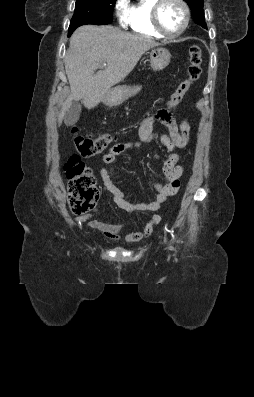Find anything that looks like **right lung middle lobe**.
<instances>
[{
  "label": "right lung middle lobe",
  "instance_id": "1",
  "mask_svg": "<svg viewBox=\"0 0 254 397\" xmlns=\"http://www.w3.org/2000/svg\"><path fill=\"white\" fill-rule=\"evenodd\" d=\"M116 0H77L69 29L86 24L106 25L112 22Z\"/></svg>",
  "mask_w": 254,
  "mask_h": 397
}]
</instances>
